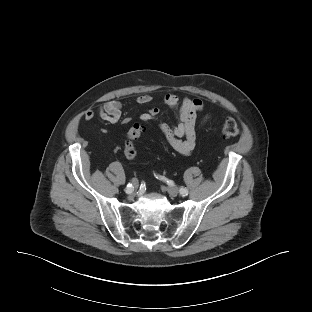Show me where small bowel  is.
Here are the masks:
<instances>
[{
	"mask_svg": "<svg viewBox=\"0 0 312 312\" xmlns=\"http://www.w3.org/2000/svg\"><path fill=\"white\" fill-rule=\"evenodd\" d=\"M153 98L144 94L136 98V103L147 108L140 115V120L149 122L161 116V110L156 106H149ZM163 103L169 109L177 112L178 122L175 126L161 123L159 129L168 144L179 154L189 155L196 146L198 116L203 111L204 103L199 98L186 97L182 101L173 93H167L163 98ZM125 105L119 100H110L100 105L97 109L99 117L110 124L121 122L127 125L131 122V117L122 118ZM95 116L93 110H86L83 118L90 121Z\"/></svg>",
	"mask_w": 312,
	"mask_h": 312,
	"instance_id": "obj_1",
	"label": "small bowel"
}]
</instances>
